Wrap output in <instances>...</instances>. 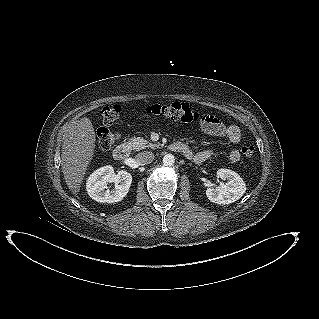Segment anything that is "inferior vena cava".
I'll use <instances>...</instances> for the list:
<instances>
[{"mask_svg": "<svg viewBox=\"0 0 319 319\" xmlns=\"http://www.w3.org/2000/svg\"><path fill=\"white\" fill-rule=\"evenodd\" d=\"M154 154L151 151H143L136 155V161L140 165H146L153 161Z\"/></svg>", "mask_w": 319, "mask_h": 319, "instance_id": "1", "label": "inferior vena cava"}]
</instances>
